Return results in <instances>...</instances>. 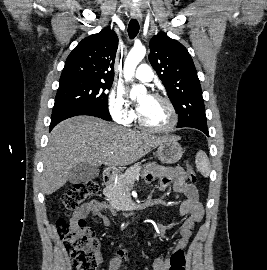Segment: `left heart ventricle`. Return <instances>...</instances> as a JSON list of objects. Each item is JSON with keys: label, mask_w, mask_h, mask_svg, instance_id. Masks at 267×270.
Listing matches in <instances>:
<instances>
[{"label": "left heart ventricle", "mask_w": 267, "mask_h": 270, "mask_svg": "<svg viewBox=\"0 0 267 270\" xmlns=\"http://www.w3.org/2000/svg\"><path fill=\"white\" fill-rule=\"evenodd\" d=\"M140 103L144 104L140 116L146 124L153 127H164L169 123V111L161 101L154 97L148 98V96H144Z\"/></svg>", "instance_id": "obj_1"}]
</instances>
